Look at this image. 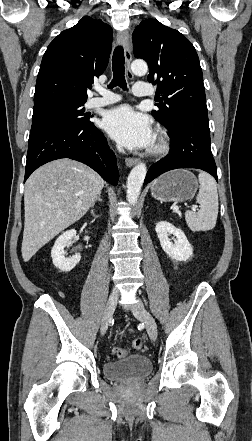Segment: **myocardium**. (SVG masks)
Returning a JSON list of instances; mask_svg holds the SVG:
<instances>
[{
	"label": "myocardium",
	"instance_id": "1",
	"mask_svg": "<svg viewBox=\"0 0 252 441\" xmlns=\"http://www.w3.org/2000/svg\"><path fill=\"white\" fill-rule=\"evenodd\" d=\"M168 149H169V142L167 136L165 132L160 130L157 132L156 141L153 144L150 152L153 155H161L167 152Z\"/></svg>",
	"mask_w": 252,
	"mask_h": 441
}]
</instances>
